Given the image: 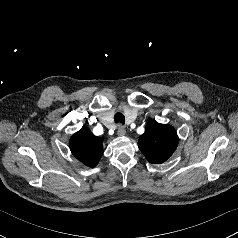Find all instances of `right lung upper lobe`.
Returning a JSON list of instances; mask_svg holds the SVG:
<instances>
[{
  "instance_id": "1",
  "label": "right lung upper lobe",
  "mask_w": 238,
  "mask_h": 238,
  "mask_svg": "<svg viewBox=\"0 0 238 238\" xmlns=\"http://www.w3.org/2000/svg\"><path fill=\"white\" fill-rule=\"evenodd\" d=\"M103 138L95 136L87 127L83 126L70 139L72 154L83 164L94 167L103 154Z\"/></svg>"
}]
</instances>
